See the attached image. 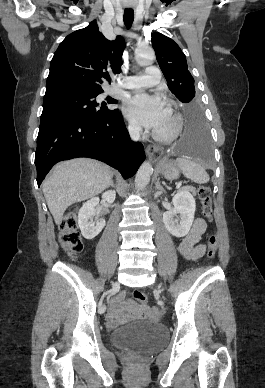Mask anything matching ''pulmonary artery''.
Returning <instances> with one entry per match:
<instances>
[{
    "mask_svg": "<svg viewBox=\"0 0 265 388\" xmlns=\"http://www.w3.org/2000/svg\"><path fill=\"white\" fill-rule=\"evenodd\" d=\"M146 71H149V75H125L124 81L130 82L131 85H127L124 81L122 83H116L114 88L116 90H126L128 87L133 90L135 94L142 92V86H155L156 82H161V75H158V69H155V64H146ZM121 79L120 77L118 78Z\"/></svg>",
    "mask_w": 265,
    "mask_h": 388,
    "instance_id": "obj_1",
    "label": "pulmonary artery"
}]
</instances>
